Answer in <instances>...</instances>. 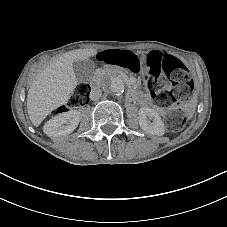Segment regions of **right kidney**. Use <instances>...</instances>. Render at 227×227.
I'll list each match as a JSON object with an SVG mask.
<instances>
[{
  "label": "right kidney",
  "instance_id": "right-kidney-1",
  "mask_svg": "<svg viewBox=\"0 0 227 227\" xmlns=\"http://www.w3.org/2000/svg\"><path fill=\"white\" fill-rule=\"evenodd\" d=\"M79 122L80 112L78 110H69L48 120L43 126V132L48 137L68 135L76 129Z\"/></svg>",
  "mask_w": 227,
  "mask_h": 227
}]
</instances>
